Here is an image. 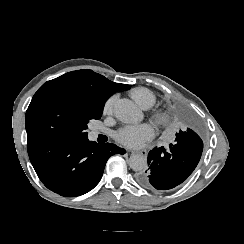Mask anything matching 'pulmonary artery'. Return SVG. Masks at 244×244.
I'll list each match as a JSON object with an SVG mask.
<instances>
[{
	"label": "pulmonary artery",
	"mask_w": 244,
	"mask_h": 244,
	"mask_svg": "<svg viewBox=\"0 0 244 244\" xmlns=\"http://www.w3.org/2000/svg\"><path fill=\"white\" fill-rule=\"evenodd\" d=\"M91 137H96L97 136V132L96 131H93L91 134H90Z\"/></svg>",
	"instance_id": "pulmonary-artery-1"
}]
</instances>
